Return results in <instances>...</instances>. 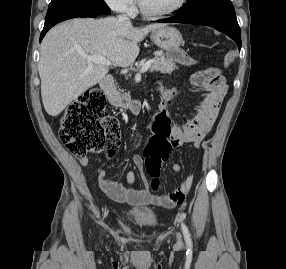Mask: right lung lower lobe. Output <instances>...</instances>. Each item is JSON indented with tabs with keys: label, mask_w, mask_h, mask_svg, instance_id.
Segmentation results:
<instances>
[{
	"label": "right lung lower lobe",
	"mask_w": 286,
	"mask_h": 269,
	"mask_svg": "<svg viewBox=\"0 0 286 269\" xmlns=\"http://www.w3.org/2000/svg\"><path fill=\"white\" fill-rule=\"evenodd\" d=\"M96 15H91V14H82V15H77V16H73V17H69V18H66V19H62V20H59V21H56V22H53L51 24H47V25H44V28L41 32V35H40V42L41 40L43 39V37L45 36V34L47 33V31L52 28L54 25H56L57 23L59 22H62L64 20H67V19H71V18H75V17H95Z\"/></svg>",
	"instance_id": "obj_1"
}]
</instances>
